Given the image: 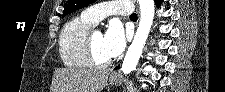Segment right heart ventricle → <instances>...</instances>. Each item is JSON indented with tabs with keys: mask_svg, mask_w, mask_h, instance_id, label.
Returning a JSON list of instances; mask_svg holds the SVG:
<instances>
[{
	"mask_svg": "<svg viewBox=\"0 0 225 92\" xmlns=\"http://www.w3.org/2000/svg\"><path fill=\"white\" fill-rule=\"evenodd\" d=\"M93 26L82 16L74 17L64 25L59 36V56L65 65L80 69L90 67L85 40Z\"/></svg>",
	"mask_w": 225,
	"mask_h": 92,
	"instance_id": "e07e8e85",
	"label": "right heart ventricle"
}]
</instances>
